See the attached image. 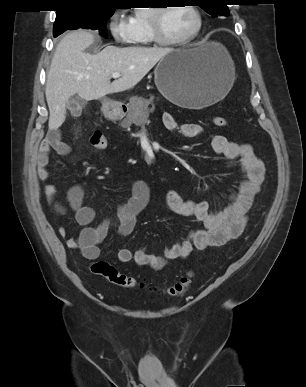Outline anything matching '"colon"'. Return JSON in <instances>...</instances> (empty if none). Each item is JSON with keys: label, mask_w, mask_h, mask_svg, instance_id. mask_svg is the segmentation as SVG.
I'll return each instance as SVG.
<instances>
[{"label": "colon", "mask_w": 306, "mask_h": 387, "mask_svg": "<svg viewBox=\"0 0 306 387\" xmlns=\"http://www.w3.org/2000/svg\"><path fill=\"white\" fill-rule=\"evenodd\" d=\"M212 122L217 127H226L228 125L227 120L220 116L213 117ZM90 143L97 149H104L108 145V140L102 132L97 131L91 136ZM91 271L121 288L134 289L143 288L145 286L143 282H139L135 278L121 273L115 266L103 260L93 262L91 265ZM193 279L194 273L192 271H188L176 283L166 288L165 292L169 296H180L189 289Z\"/></svg>", "instance_id": "5ec220e1"}]
</instances>
